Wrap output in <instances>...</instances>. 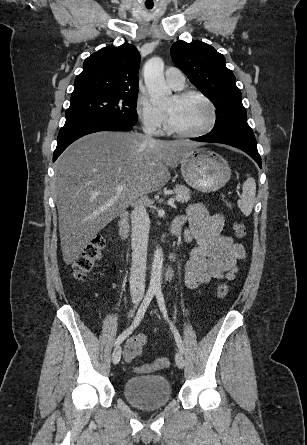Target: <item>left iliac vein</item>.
<instances>
[{"label": "left iliac vein", "instance_id": "4c4485c4", "mask_svg": "<svg viewBox=\"0 0 307 445\" xmlns=\"http://www.w3.org/2000/svg\"><path fill=\"white\" fill-rule=\"evenodd\" d=\"M175 361L179 368H183L185 365L184 357L180 352H177L175 355Z\"/></svg>", "mask_w": 307, "mask_h": 445}]
</instances>
